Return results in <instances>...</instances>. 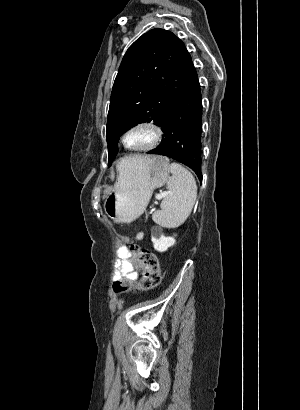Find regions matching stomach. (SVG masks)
<instances>
[{
    "label": "stomach",
    "mask_w": 300,
    "mask_h": 410,
    "mask_svg": "<svg viewBox=\"0 0 300 410\" xmlns=\"http://www.w3.org/2000/svg\"><path fill=\"white\" fill-rule=\"evenodd\" d=\"M169 172V160L159 155L147 156L146 160L135 166H127L119 173L112 192L105 196L106 215L121 223H130L139 218L153 191L167 182Z\"/></svg>",
    "instance_id": "stomach-1"
}]
</instances>
